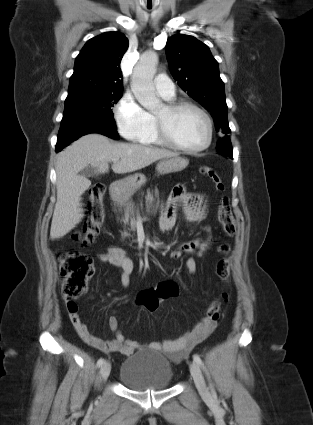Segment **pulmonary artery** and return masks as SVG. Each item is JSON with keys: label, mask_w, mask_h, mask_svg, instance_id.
Listing matches in <instances>:
<instances>
[{"label": "pulmonary artery", "mask_w": 313, "mask_h": 425, "mask_svg": "<svg viewBox=\"0 0 313 425\" xmlns=\"http://www.w3.org/2000/svg\"><path fill=\"white\" fill-rule=\"evenodd\" d=\"M154 85L158 94L164 99H173L175 96V86L172 80L166 75H158L154 80Z\"/></svg>", "instance_id": "obj_1"}]
</instances>
